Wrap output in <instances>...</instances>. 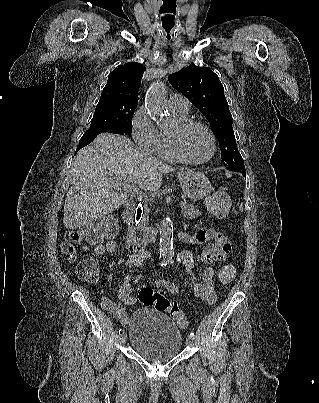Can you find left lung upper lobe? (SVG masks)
Returning <instances> with one entry per match:
<instances>
[{
  "label": "left lung upper lobe",
  "mask_w": 319,
  "mask_h": 403,
  "mask_svg": "<svg viewBox=\"0 0 319 403\" xmlns=\"http://www.w3.org/2000/svg\"><path fill=\"white\" fill-rule=\"evenodd\" d=\"M168 80L207 118L219 141L222 160L230 167L245 169L224 88L217 74L206 67L190 66L171 74Z\"/></svg>",
  "instance_id": "left-lung-upper-lobe-1"
}]
</instances>
